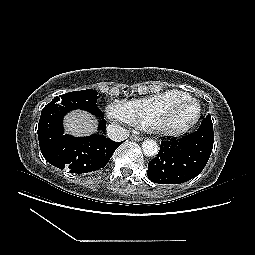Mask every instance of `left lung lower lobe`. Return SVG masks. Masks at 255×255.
Masks as SVG:
<instances>
[{
	"label": "left lung lower lobe",
	"instance_id": "1",
	"mask_svg": "<svg viewBox=\"0 0 255 255\" xmlns=\"http://www.w3.org/2000/svg\"><path fill=\"white\" fill-rule=\"evenodd\" d=\"M211 116L199 128L180 139L161 142L157 156L148 164V178L158 184H180L196 177L205 167L213 148Z\"/></svg>",
	"mask_w": 255,
	"mask_h": 255
}]
</instances>
